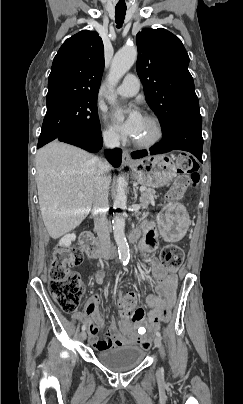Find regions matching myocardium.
<instances>
[{"instance_id":"myocardium-1","label":"myocardium","mask_w":243,"mask_h":404,"mask_svg":"<svg viewBox=\"0 0 243 404\" xmlns=\"http://www.w3.org/2000/svg\"><path fill=\"white\" fill-rule=\"evenodd\" d=\"M135 34V32H133ZM126 34V33H125ZM151 121L155 127L154 136L147 141H136L134 140V146L143 149H149L158 145L164 138L165 129L162 120L154 114H146L145 117Z\"/></svg>"}]
</instances>
